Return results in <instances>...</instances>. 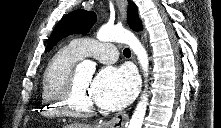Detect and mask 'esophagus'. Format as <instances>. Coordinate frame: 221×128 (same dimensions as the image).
Masks as SVG:
<instances>
[{"label": "esophagus", "mask_w": 221, "mask_h": 128, "mask_svg": "<svg viewBox=\"0 0 221 128\" xmlns=\"http://www.w3.org/2000/svg\"><path fill=\"white\" fill-rule=\"evenodd\" d=\"M118 5L120 7L122 16L127 17V1L118 0ZM129 121V117L124 112L117 113L110 121L97 123V128H124Z\"/></svg>", "instance_id": "obj_1"}]
</instances>
